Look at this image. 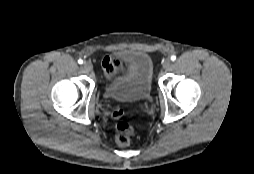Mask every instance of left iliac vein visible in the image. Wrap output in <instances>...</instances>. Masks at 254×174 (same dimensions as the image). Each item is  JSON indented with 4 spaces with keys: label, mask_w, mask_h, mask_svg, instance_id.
I'll return each instance as SVG.
<instances>
[{
    "label": "left iliac vein",
    "mask_w": 254,
    "mask_h": 174,
    "mask_svg": "<svg viewBox=\"0 0 254 174\" xmlns=\"http://www.w3.org/2000/svg\"><path fill=\"white\" fill-rule=\"evenodd\" d=\"M172 65V62L170 59H166L164 62H163V68L168 70Z\"/></svg>",
    "instance_id": "1"
}]
</instances>
